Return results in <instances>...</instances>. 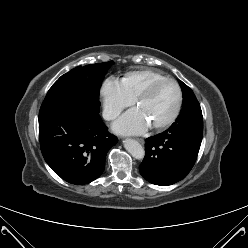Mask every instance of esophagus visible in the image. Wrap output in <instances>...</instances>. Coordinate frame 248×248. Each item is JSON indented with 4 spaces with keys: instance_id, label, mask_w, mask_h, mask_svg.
Returning a JSON list of instances; mask_svg holds the SVG:
<instances>
[{
    "instance_id": "34e87169",
    "label": "esophagus",
    "mask_w": 248,
    "mask_h": 248,
    "mask_svg": "<svg viewBox=\"0 0 248 248\" xmlns=\"http://www.w3.org/2000/svg\"><path fill=\"white\" fill-rule=\"evenodd\" d=\"M136 140L139 142V143H144V140L143 139H141V138H136Z\"/></svg>"
}]
</instances>
